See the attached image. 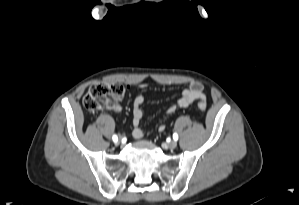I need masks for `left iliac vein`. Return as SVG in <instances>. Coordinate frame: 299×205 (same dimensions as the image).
<instances>
[{
  "mask_svg": "<svg viewBox=\"0 0 299 205\" xmlns=\"http://www.w3.org/2000/svg\"><path fill=\"white\" fill-rule=\"evenodd\" d=\"M167 148L169 149H174L177 147V141L176 140H172L169 143L166 144Z\"/></svg>",
  "mask_w": 299,
  "mask_h": 205,
  "instance_id": "obj_1",
  "label": "left iliac vein"
}]
</instances>
